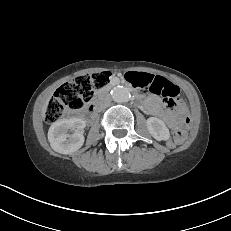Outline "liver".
<instances>
[{"mask_svg":"<svg viewBox=\"0 0 231 231\" xmlns=\"http://www.w3.org/2000/svg\"><path fill=\"white\" fill-rule=\"evenodd\" d=\"M51 99V96H49L47 98V100L45 101L44 105H43V108H42V116L43 118H45V115H46V110H47V106L49 104V100Z\"/></svg>","mask_w":231,"mask_h":231,"instance_id":"1","label":"liver"}]
</instances>
